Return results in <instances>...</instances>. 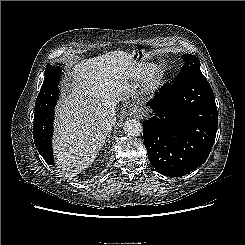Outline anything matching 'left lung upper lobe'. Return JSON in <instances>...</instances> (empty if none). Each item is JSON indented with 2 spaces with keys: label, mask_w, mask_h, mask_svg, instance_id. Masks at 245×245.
<instances>
[{
  "label": "left lung upper lobe",
  "mask_w": 245,
  "mask_h": 245,
  "mask_svg": "<svg viewBox=\"0 0 245 245\" xmlns=\"http://www.w3.org/2000/svg\"><path fill=\"white\" fill-rule=\"evenodd\" d=\"M182 58L185 62L184 66L174 82H178L192 75L202 74L200 70V61L196 56L184 54L182 55Z\"/></svg>",
  "instance_id": "obj_1"
}]
</instances>
